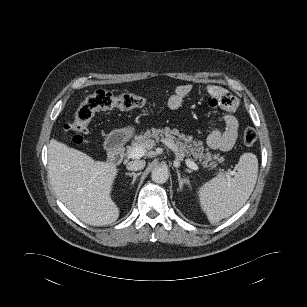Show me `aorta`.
Listing matches in <instances>:
<instances>
[{
    "label": "aorta",
    "instance_id": "aorta-1",
    "mask_svg": "<svg viewBox=\"0 0 307 307\" xmlns=\"http://www.w3.org/2000/svg\"><path fill=\"white\" fill-rule=\"evenodd\" d=\"M151 178L155 183L163 184L169 178V172L167 168L164 167H156L152 171Z\"/></svg>",
    "mask_w": 307,
    "mask_h": 307
}]
</instances>
